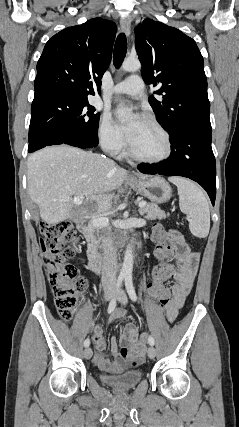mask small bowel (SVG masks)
I'll return each mask as SVG.
<instances>
[{
  "label": "small bowel",
  "mask_w": 239,
  "mask_h": 427,
  "mask_svg": "<svg viewBox=\"0 0 239 427\" xmlns=\"http://www.w3.org/2000/svg\"><path fill=\"white\" fill-rule=\"evenodd\" d=\"M166 232L171 237L169 254L170 258L175 259V264L171 267V279L174 280V284L169 288L171 295L163 308L167 319L173 322L178 317L184 301L193 287L200 255L197 252L191 251L185 243L183 235L178 230L171 229ZM125 315V309L117 308L112 315V320L121 321ZM137 338L138 331L134 323H128L122 328L120 342L123 346L133 345L137 341ZM93 340L96 349L93 362L105 372L115 374L122 372L125 368L126 360L122 353L119 352L116 338H112L110 341L111 359L104 357L102 354L106 348V342L103 337V329L100 326H95Z\"/></svg>",
  "instance_id": "c3829d8e"
}]
</instances>
